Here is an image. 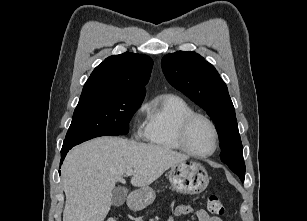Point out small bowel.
<instances>
[{
	"label": "small bowel",
	"instance_id": "small-bowel-1",
	"mask_svg": "<svg viewBox=\"0 0 307 221\" xmlns=\"http://www.w3.org/2000/svg\"><path fill=\"white\" fill-rule=\"evenodd\" d=\"M194 210L191 206L188 205H177L172 213L169 215L168 221H174V216H182L193 213ZM195 215L198 221H222L217 216L209 215L208 212L204 209L195 211Z\"/></svg>",
	"mask_w": 307,
	"mask_h": 221
}]
</instances>
